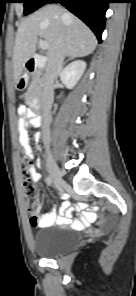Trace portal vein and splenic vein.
<instances>
[{"mask_svg":"<svg viewBox=\"0 0 136 296\" xmlns=\"http://www.w3.org/2000/svg\"><path fill=\"white\" fill-rule=\"evenodd\" d=\"M39 47L41 50H47L49 48V43L45 40H39Z\"/></svg>","mask_w":136,"mask_h":296,"instance_id":"portal-vein-and-splenic-vein-1","label":"portal vein and splenic vein"}]
</instances>
